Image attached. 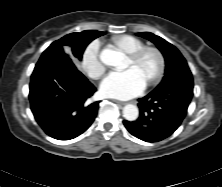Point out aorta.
I'll use <instances>...</instances> for the list:
<instances>
[{
	"instance_id": "aorta-1",
	"label": "aorta",
	"mask_w": 222,
	"mask_h": 187,
	"mask_svg": "<svg viewBox=\"0 0 222 187\" xmlns=\"http://www.w3.org/2000/svg\"><path fill=\"white\" fill-rule=\"evenodd\" d=\"M100 60L102 63L108 66H119L123 61V55L121 52L111 49L105 48L100 53ZM139 116V110L137 106L133 104H127L123 108V117L128 121H135Z\"/></svg>"
}]
</instances>
